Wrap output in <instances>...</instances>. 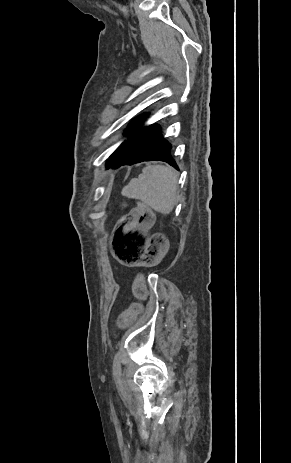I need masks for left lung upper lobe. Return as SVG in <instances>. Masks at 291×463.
Segmentation results:
<instances>
[{"label":"left lung upper lobe","instance_id":"1","mask_svg":"<svg viewBox=\"0 0 291 463\" xmlns=\"http://www.w3.org/2000/svg\"><path fill=\"white\" fill-rule=\"evenodd\" d=\"M146 117V114L135 118L125 130V134H129L128 140L124 141L116 151L110 156V159L121 158L137 146H139L145 137L157 127V125H151L149 127L140 128V124ZM133 129V131H131Z\"/></svg>","mask_w":291,"mask_h":463}]
</instances>
